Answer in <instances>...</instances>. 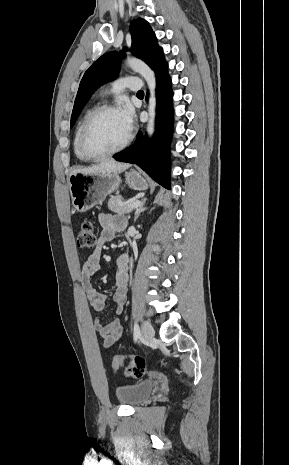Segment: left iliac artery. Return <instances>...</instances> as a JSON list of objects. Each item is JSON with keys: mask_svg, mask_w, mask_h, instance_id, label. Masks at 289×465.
<instances>
[{"mask_svg": "<svg viewBox=\"0 0 289 465\" xmlns=\"http://www.w3.org/2000/svg\"><path fill=\"white\" fill-rule=\"evenodd\" d=\"M134 333V341L136 342L138 340V338L140 337V329H139V326L137 323H134V329H133Z\"/></svg>", "mask_w": 289, "mask_h": 465, "instance_id": "44dca946", "label": "left iliac artery"}]
</instances>
